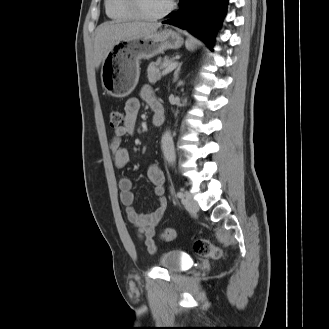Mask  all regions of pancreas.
<instances>
[{
  "mask_svg": "<svg viewBox=\"0 0 329 329\" xmlns=\"http://www.w3.org/2000/svg\"><path fill=\"white\" fill-rule=\"evenodd\" d=\"M173 59L165 57L163 61L159 60L157 62H152L147 68V78L150 83H155L160 79L161 72L159 66H168L171 64Z\"/></svg>",
  "mask_w": 329,
  "mask_h": 329,
  "instance_id": "obj_1",
  "label": "pancreas"
}]
</instances>
